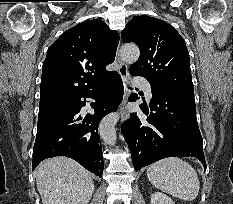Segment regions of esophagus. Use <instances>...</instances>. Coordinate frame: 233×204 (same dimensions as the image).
I'll use <instances>...</instances> for the list:
<instances>
[{
    "instance_id": "esophagus-1",
    "label": "esophagus",
    "mask_w": 233,
    "mask_h": 204,
    "mask_svg": "<svg viewBox=\"0 0 233 204\" xmlns=\"http://www.w3.org/2000/svg\"><path fill=\"white\" fill-rule=\"evenodd\" d=\"M116 60L118 62V67H119L118 69H119L120 75L122 76V78L125 81H128V78H129L128 66L120 58L119 46H118L117 52H116ZM127 95H128V90L125 89L124 97H123V100H122L120 108H119L120 114H121V122H124L129 116V113H128L127 108H126Z\"/></svg>"
}]
</instances>
